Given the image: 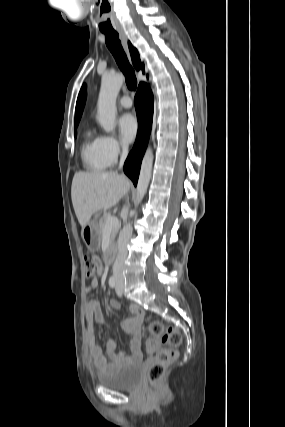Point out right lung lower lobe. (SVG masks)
<instances>
[{
  "label": "right lung lower lobe",
  "mask_w": 285,
  "mask_h": 427,
  "mask_svg": "<svg viewBox=\"0 0 285 427\" xmlns=\"http://www.w3.org/2000/svg\"><path fill=\"white\" fill-rule=\"evenodd\" d=\"M135 107L138 118V135L136 143L125 161L124 172L136 186L153 118V95L149 85L144 82L139 84L135 96Z\"/></svg>",
  "instance_id": "right-lung-lower-lobe-1"
}]
</instances>
